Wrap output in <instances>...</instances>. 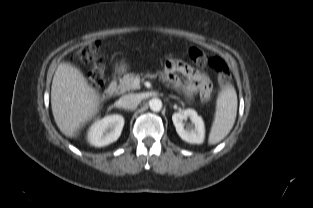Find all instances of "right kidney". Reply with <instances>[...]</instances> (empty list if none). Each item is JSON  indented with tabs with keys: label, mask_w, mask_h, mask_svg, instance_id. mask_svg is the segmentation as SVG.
Segmentation results:
<instances>
[{
	"label": "right kidney",
	"mask_w": 313,
	"mask_h": 208,
	"mask_svg": "<svg viewBox=\"0 0 313 208\" xmlns=\"http://www.w3.org/2000/svg\"><path fill=\"white\" fill-rule=\"evenodd\" d=\"M124 118L113 114L97 120L89 129L88 142L95 147H103L115 142L121 135Z\"/></svg>",
	"instance_id": "obj_1"
}]
</instances>
